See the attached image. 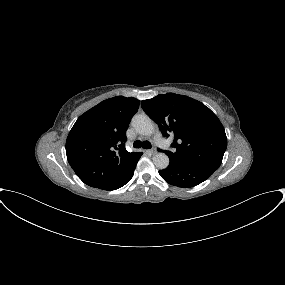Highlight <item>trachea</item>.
Instances as JSON below:
<instances>
[{
    "mask_svg": "<svg viewBox=\"0 0 285 285\" xmlns=\"http://www.w3.org/2000/svg\"><path fill=\"white\" fill-rule=\"evenodd\" d=\"M133 147L134 148H145V149H150L151 148V143L149 141H139V140H136L134 143H133Z\"/></svg>",
    "mask_w": 285,
    "mask_h": 285,
    "instance_id": "trachea-1",
    "label": "trachea"
}]
</instances>
